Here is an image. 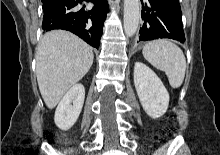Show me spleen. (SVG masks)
I'll use <instances>...</instances> for the list:
<instances>
[{
    "mask_svg": "<svg viewBox=\"0 0 220 155\" xmlns=\"http://www.w3.org/2000/svg\"><path fill=\"white\" fill-rule=\"evenodd\" d=\"M144 58L156 69L164 71L172 88H179L185 77L186 60L183 51L167 39L149 42L143 48Z\"/></svg>",
    "mask_w": 220,
    "mask_h": 155,
    "instance_id": "1",
    "label": "spleen"
}]
</instances>
